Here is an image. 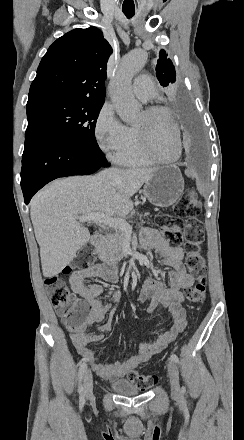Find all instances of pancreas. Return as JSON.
<instances>
[{
	"label": "pancreas",
	"instance_id": "cf45deb5",
	"mask_svg": "<svg viewBox=\"0 0 244 440\" xmlns=\"http://www.w3.org/2000/svg\"><path fill=\"white\" fill-rule=\"evenodd\" d=\"M126 232L122 230H114L113 234H107L100 240L96 246V254H98L101 262H119L124 258L123 246L126 240Z\"/></svg>",
	"mask_w": 244,
	"mask_h": 440
}]
</instances>
